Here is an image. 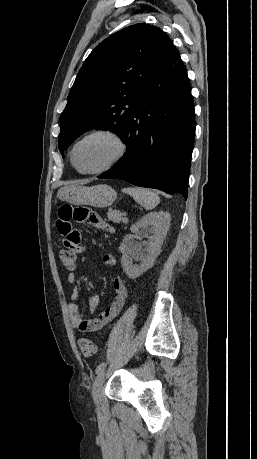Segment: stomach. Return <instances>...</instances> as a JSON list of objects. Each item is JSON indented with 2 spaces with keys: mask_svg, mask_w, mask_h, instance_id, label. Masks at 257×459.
I'll return each mask as SVG.
<instances>
[{
  "mask_svg": "<svg viewBox=\"0 0 257 459\" xmlns=\"http://www.w3.org/2000/svg\"><path fill=\"white\" fill-rule=\"evenodd\" d=\"M58 197L60 200L75 205H92L93 207L103 208L110 206L116 200L117 193L106 184L91 187L73 185L60 189Z\"/></svg>",
  "mask_w": 257,
  "mask_h": 459,
  "instance_id": "obj_1",
  "label": "stomach"
}]
</instances>
